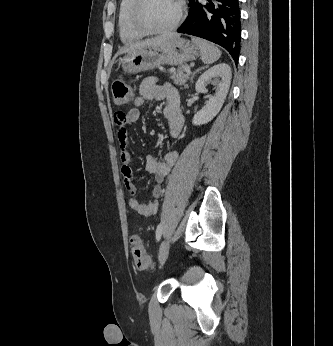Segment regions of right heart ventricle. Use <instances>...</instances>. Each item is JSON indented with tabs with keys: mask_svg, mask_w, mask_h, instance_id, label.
<instances>
[{
	"mask_svg": "<svg viewBox=\"0 0 333 346\" xmlns=\"http://www.w3.org/2000/svg\"><path fill=\"white\" fill-rule=\"evenodd\" d=\"M135 0H121L119 5L117 28L123 43L129 44L140 40L144 34L132 24L131 14Z\"/></svg>",
	"mask_w": 333,
	"mask_h": 346,
	"instance_id": "obj_1",
	"label": "right heart ventricle"
}]
</instances>
